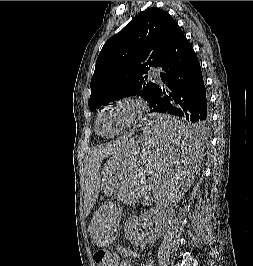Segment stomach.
Returning <instances> with one entry per match:
<instances>
[{
  "instance_id": "0dacf381",
  "label": "stomach",
  "mask_w": 253,
  "mask_h": 266,
  "mask_svg": "<svg viewBox=\"0 0 253 266\" xmlns=\"http://www.w3.org/2000/svg\"><path fill=\"white\" fill-rule=\"evenodd\" d=\"M140 145H143L142 136L130 140L121 148V150L114 156V158L108 164L107 170L109 175L107 176L112 189L115 188V185H120V182L117 181L120 180V176H122L123 170H130L119 169V160H132L135 150H139Z\"/></svg>"
}]
</instances>
